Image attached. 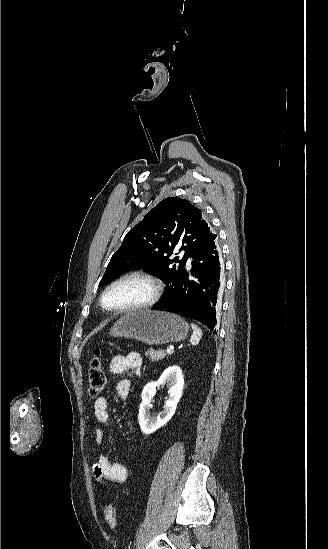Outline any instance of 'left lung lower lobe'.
<instances>
[{
  "instance_id": "obj_1",
  "label": "left lung lower lobe",
  "mask_w": 328,
  "mask_h": 549,
  "mask_svg": "<svg viewBox=\"0 0 328 549\" xmlns=\"http://www.w3.org/2000/svg\"><path fill=\"white\" fill-rule=\"evenodd\" d=\"M222 259L220 249L213 240L192 257L193 279L185 270L172 291L164 296L153 310L167 311L201 321L215 334L223 291Z\"/></svg>"
}]
</instances>
